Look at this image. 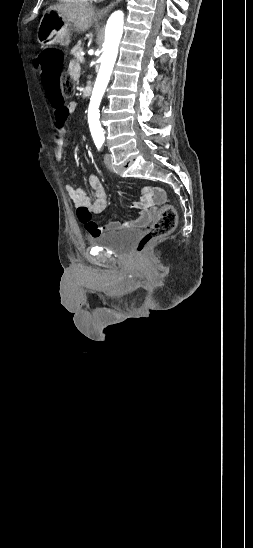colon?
<instances>
[{
    "instance_id": "5ec220e1",
    "label": "colon",
    "mask_w": 253,
    "mask_h": 548,
    "mask_svg": "<svg viewBox=\"0 0 253 548\" xmlns=\"http://www.w3.org/2000/svg\"><path fill=\"white\" fill-rule=\"evenodd\" d=\"M38 63L42 67L40 82L43 83V90L50 99L52 105L57 107L60 126H67L70 122L66 113L70 96L74 93L73 78L68 73H63V55L56 50H45L38 56ZM177 215L175 209L168 204L162 205L157 216L139 240L136 250L138 253L146 251L156 240L172 233L176 227Z\"/></svg>"
}]
</instances>
